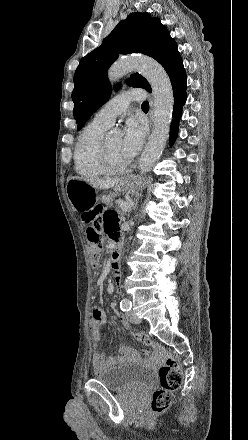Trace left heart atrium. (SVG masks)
Instances as JSON below:
<instances>
[{"label":"left heart atrium","instance_id":"1","mask_svg":"<svg viewBox=\"0 0 248 440\" xmlns=\"http://www.w3.org/2000/svg\"><path fill=\"white\" fill-rule=\"evenodd\" d=\"M143 142V126L133 118L128 119L120 142V151L123 157L130 162L141 150Z\"/></svg>","mask_w":248,"mask_h":440}]
</instances>
